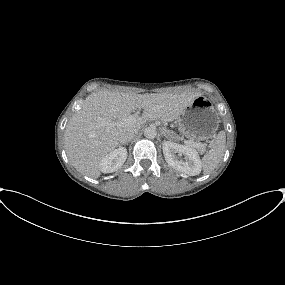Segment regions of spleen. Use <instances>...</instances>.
Segmentation results:
<instances>
[{"instance_id": "spleen-1", "label": "spleen", "mask_w": 285, "mask_h": 285, "mask_svg": "<svg viewBox=\"0 0 285 285\" xmlns=\"http://www.w3.org/2000/svg\"><path fill=\"white\" fill-rule=\"evenodd\" d=\"M225 146L226 135L224 131H221L213 141L210 151L202 158L201 165L204 174L211 173L218 166L224 156Z\"/></svg>"}]
</instances>
